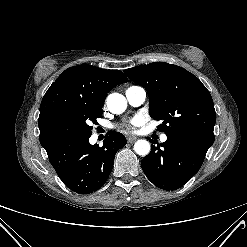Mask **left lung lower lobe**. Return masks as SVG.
I'll return each instance as SVG.
<instances>
[{"label": "left lung lower lobe", "mask_w": 247, "mask_h": 247, "mask_svg": "<svg viewBox=\"0 0 247 247\" xmlns=\"http://www.w3.org/2000/svg\"><path fill=\"white\" fill-rule=\"evenodd\" d=\"M209 145L184 135H167L142 161L147 178L164 190L185 185L200 169Z\"/></svg>", "instance_id": "1"}]
</instances>
